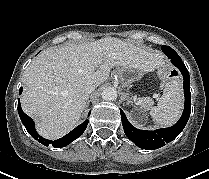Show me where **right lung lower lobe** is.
<instances>
[{
    "label": "right lung lower lobe",
    "instance_id": "98d812e1",
    "mask_svg": "<svg viewBox=\"0 0 209 179\" xmlns=\"http://www.w3.org/2000/svg\"><path fill=\"white\" fill-rule=\"evenodd\" d=\"M19 92L21 94L22 88H20ZM18 113H19L20 119H21L23 125L25 126L27 132L35 140H37L38 142H40L41 144H43L45 146H49V144H52V146L55 148L65 147L68 144H70L72 141L77 139L79 136H81L83 134V132L85 131L87 124H88V120H86L82 124L77 126L75 129H73L71 132H69L67 135H65L64 137H62L58 140H55V141H51V140L44 139L43 137H41L37 133V131L35 130L33 120L23 112L20 102H18ZM88 115H90V112Z\"/></svg>",
    "mask_w": 209,
    "mask_h": 179
}]
</instances>
